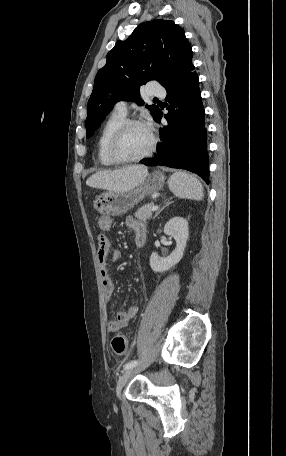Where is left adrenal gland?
I'll use <instances>...</instances> for the list:
<instances>
[{"mask_svg":"<svg viewBox=\"0 0 286 456\" xmlns=\"http://www.w3.org/2000/svg\"><path fill=\"white\" fill-rule=\"evenodd\" d=\"M171 203H172V202H169V201H168V202L166 203V205L163 206V207L156 213V215L154 216V218L157 217V216L161 213V211H163V210L165 209V207H167V206L170 205Z\"/></svg>","mask_w":286,"mask_h":456,"instance_id":"a2214340","label":"left adrenal gland"}]
</instances>
